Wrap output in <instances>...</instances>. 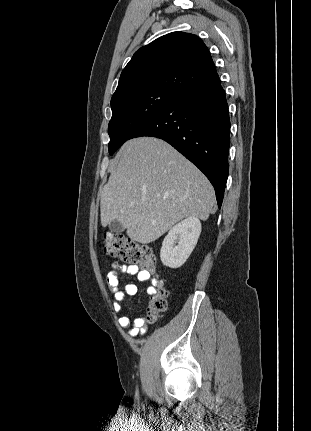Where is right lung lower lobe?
<instances>
[{"label": "right lung lower lobe", "mask_w": 311, "mask_h": 431, "mask_svg": "<svg viewBox=\"0 0 311 431\" xmlns=\"http://www.w3.org/2000/svg\"><path fill=\"white\" fill-rule=\"evenodd\" d=\"M230 119L219 77L180 94L129 139H163L194 163L214 186L221 207L228 177Z\"/></svg>", "instance_id": "98d812e1"}]
</instances>
